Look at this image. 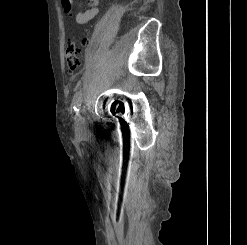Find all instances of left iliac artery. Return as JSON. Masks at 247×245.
I'll return each mask as SVG.
<instances>
[{
	"instance_id": "obj_1",
	"label": "left iliac artery",
	"mask_w": 247,
	"mask_h": 245,
	"mask_svg": "<svg viewBox=\"0 0 247 245\" xmlns=\"http://www.w3.org/2000/svg\"><path fill=\"white\" fill-rule=\"evenodd\" d=\"M81 103H82V92L81 91H78L76 92V94L74 95V98H73V109L75 112H79V109L81 107Z\"/></svg>"
}]
</instances>
